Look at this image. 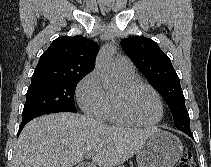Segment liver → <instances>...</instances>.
I'll return each instance as SVG.
<instances>
[{"mask_svg":"<svg viewBox=\"0 0 211 167\" xmlns=\"http://www.w3.org/2000/svg\"><path fill=\"white\" fill-rule=\"evenodd\" d=\"M154 130L112 127L74 113L44 115L22 130L12 167H73L88 152L99 167L118 166L137 154Z\"/></svg>","mask_w":211,"mask_h":167,"instance_id":"obj_1","label":"liver"}]
</instances>
